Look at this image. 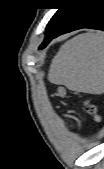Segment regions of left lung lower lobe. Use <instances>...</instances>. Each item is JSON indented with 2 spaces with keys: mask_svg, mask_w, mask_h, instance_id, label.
Here are the masks:
<instances>
[{
  "mask_svg": "<svg viewBox=\"0 0 104 169\" xmlns=\"http://www.w3.org/2000/svg\"><path fill=\"white\" fill-rule=\"evenodd\" d=\"M101 1L75 0V4L59 26L46 35L39 49H43L55 37L81 28L104 31V8Z\"/></svg>",
  "mask_w": 104,
  "mask_h": 169,
  "instance_id": "obj_1",
  "label": "left lung lower lobe"
}]
</instances>
